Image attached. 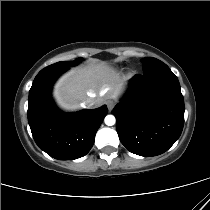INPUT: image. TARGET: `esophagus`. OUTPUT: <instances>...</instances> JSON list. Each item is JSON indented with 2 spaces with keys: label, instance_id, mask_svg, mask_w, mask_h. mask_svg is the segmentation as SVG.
Returning a JSON list of instances; mask_svg holds the SVG:
<instances>
[{
  "label": "esophagus",
  "instance_id": "obj_1",
  "mask_svg": "<svg viewBox=\"0 0 210 210\" xmlns=\"http://www.w3.org/2000/svg\"><path fill=\"white\" fill-rule=\"evenodd\" d=\"M115 104H116L115 101H113V100H108V101H107V107H108V109L111 111V110L114 108Z\"/></svg>",
  "mask_w": 210,
  "mask_h": 210
}]
</instances>
